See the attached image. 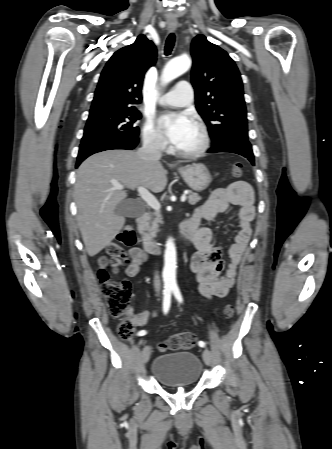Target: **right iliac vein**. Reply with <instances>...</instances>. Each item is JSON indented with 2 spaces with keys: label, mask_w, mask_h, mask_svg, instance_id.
<instances>
[{
  "label": "right iliac vein",
  "mask_w": 332,
  "mask_h": 449,
  "mask_svg": "<svg viewBox=\"0 0 332 449\" xmlns=\"http://www.w3.org/2000/svg\"><path fill=\"white\" fill-rule=\"evenodd\" d=\"M150 352H151V350H150V347H149V346H145V347L143 348L142 354H141L143 363H147V362L149 361V358H150Z\"/></svg>",
  "instance_id": "obj_1"
}]
</instances>
